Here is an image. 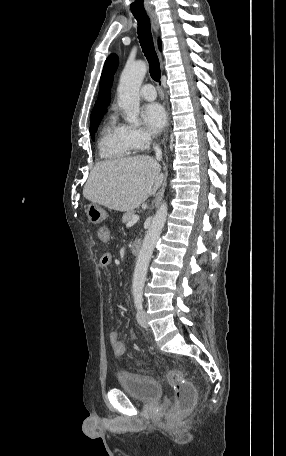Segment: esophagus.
<instances>
[{"mask_svg": "<svg viewBox=\"0 0 286 456\" xmlns=\"http://www.w3.org/2000/svg\"><path fill=\"white\" fill-rule=\"evenodd\" d=\"M148 15H149L150 20H151L153 31H154L155 35H157L158 31H159V21H158L157 14H156L155 11H149ZM158 55H159V58H160V61H161V67L163 69L162 55H161V53L159 51H158ZM169 123H170V110H169V107L167 106L166 137H167V131H168V128H169Z\"/></svg>", "mask_w": 286, "mask_h": 456, "instance_id": "1", "label": "esophagus"}]
</instances>
